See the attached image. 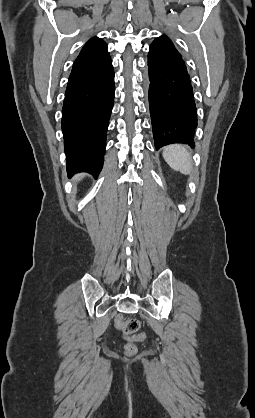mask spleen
Masks as SVG:
<instances>
[{"instance_id": "1", "label": "spleen", "mask_w": 255, "mask_h": 418, "mask_svg": "<svg viewBox=\"0 0 255 418\" xmlns=\"http://www.w3.org/2000/svg\"><path fill=\"white\" fill-rule=\"evenodd\" d=\"M163 157L168 165L175 171L188 175L192 171L191 155L186 146L173 144L166 146L163 150Z\"/></svg>"}]
</instances>
